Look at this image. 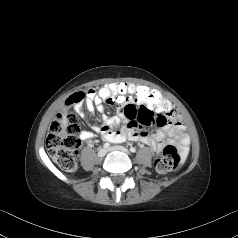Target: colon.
Listing matches in <instances>:
<instances>
[{"label":"colon","instance_id":"colon-1","mask_svg":"<svg viewBox=\"0 0 238 238\" xmlns=\"http://www.w3.org/2000/svg\"><path fill=\"white\" fill-rule=\"evenodd\" d=\"M120 90L119 84L94 86L95 94H98V100L101 103H116L120 96ZM134 95L138 99L145 98L147 95L146 87L143 85L136 86ZM84 98L85 93L77 92L71 95L66 103L72 106L83 101ZM145 100L146 106L152 108L151 112L165 105L162 96L159 93L155 94L153 91L147 95ZM79 132L80 128L76 116L70 112H62L56 115L46 138V146L51 159L67 172H74L77 169V149L80 144ZM180 161L181 156L177 148L169 144L156 160L155 167L158 172L167 173L176 169Z\"/></svg>","mask_w":238,"mask_h":238}]
</instances>
